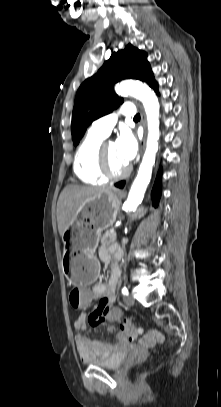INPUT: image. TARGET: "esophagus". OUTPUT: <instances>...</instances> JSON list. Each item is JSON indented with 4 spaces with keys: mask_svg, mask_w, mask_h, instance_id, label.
Instances as JSON below:
<instances>
[{
    "mask_svg": "<svg viewBox=\"0 0 221 407\" xmlns=\"http://www.w3.org/2000/svg\"><path fill=\"white\" fill-rule=\"evenodd\" d=\"M142 123H143V126L145 128V136H144V139L142 141V151H143L144 145H145V140H146V119H145V114H144L143 111H142Z\"/></svg>",
    "mask_w": 221,
    "mask_h": 407,
    "instance_id": "1",
    "label": "esophagus"
}]
</instances>
